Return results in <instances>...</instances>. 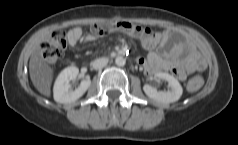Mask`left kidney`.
Wrapping results in <instances>:
<instances>
[{
  "mask_svg": "<svg viewBox=\"0 0 238 145\" xmlns=\"http://www.w3.org/2000/svg\"><path fill=\"white\" fill-rule=\"evenodd\" d=\"M155 77L167 81L171 90L157 91L151 85L145 84L143 86V90L149 98L161 103H166V104L176 102L180 99L183 93V89L179 81L175 77L165 72H157L155 74Z\"/></svg>",
  "mask_w": 238,
  "mask_h": 145,
  "instance_id": "left-kidney-1",
  "label": "left kidney"
}]
</instances>
